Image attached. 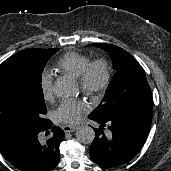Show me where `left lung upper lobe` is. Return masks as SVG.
<instances>
[{"mask_svg":"<svg viewBox=\"0 0 171 171\" xmlns=\"http://www.w3.org/2000/svg\"><path fill=\"white\" fill-rule=\"evenodd\" d=\"M91 45L109 52L116 73L102 102L89 117L97 119L135 117L152 120V93L141 65L120 47L106 43Z\"/></svg>","mask_w":171,"mask_h":171,"instance_id":"5c2ea615","label":"left lung upper lobe"}]
</instances>
